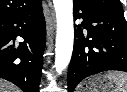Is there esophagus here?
I'll return each mask as SVG.
<instances>
[{"label": "esophagus", "instance_id": "34e87169", "mask_svg": "<svg viewBox=\"0 0 127 92\" xmlns=\"http://www.w3.org/2000/svg\"><path fill=\"white\" fill-rule=\"evenodd\" d=\"M51 16H52V20L54 21V14H53V12H51Z\"/></svg>", "mask_w": 127, "mask_h": 92}]
</instances>
